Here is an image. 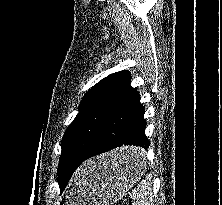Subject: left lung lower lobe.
Segmentation results:
<instances>
[{"label": "left lung lower lobe", "mask_w": 222, "mask_h": 205, "mask_svg": "<svg viewBox=\"0 0 222 205\" xmlns=\"http://www.w3.org/2000/svg\"><path fill=\"white\" fill-rule=\"evenodd\" d=\"M144 113V107L140 103V95L137 89L130 85L108 114L87 153L81 158L68 160L67 169L73 174L87 159L123 145L147 149L150 142L145 136ZM142 149L125 151L116 158V162L121 165L139 163L144 159ZM67 183L68 181L60 187L61 192Z\"/></svg>", "instance_id": "obj_1"}]
</instances>
